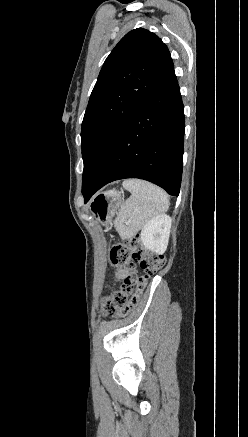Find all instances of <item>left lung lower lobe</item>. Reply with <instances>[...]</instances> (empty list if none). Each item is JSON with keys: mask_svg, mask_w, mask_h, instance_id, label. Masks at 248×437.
Returning a JSON list of instances; mask_svg holds the SVG:
<instances>
[{"mask_svg": "<svg viewBox=\"0 0 248 437\" xmlns=\"http://www.w3.org/2000/svg\"><path fill=\"white\" fill-rule=\"evenodd\" d=\"M184 108L174 69L130 116L85 202L101 187L123 178L150 181L178 196L184 149Z\"/></svg>", "mask_w": 248, "mask_h": 437, "instance_id": "obj_1", "label": "left lung lower lobe"}]
</instances>
